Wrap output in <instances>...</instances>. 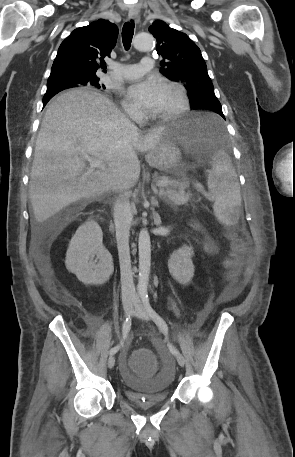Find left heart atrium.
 I'll use <instances>...</instances> for the list:
<instances>
[{
	"label": "left heart atrium",
	"mask_w": 295,
	"mask_h": 457,
	"mask_svg": "<svg viewBox=\"0 0 295 457\" xmlns=\"http://www.w3.org/2000/svg\"><path fill=\"white\" fill-rule=\"evenodd\" d=\"M162 85L154 79L138 81L128 89L129 98L137 105L153 111L157 106Z\"/></svg>",
	"instance_id": "obj_1"
}]
</instances>
